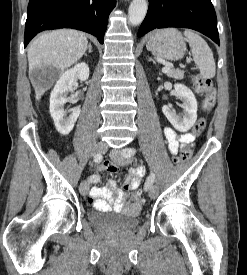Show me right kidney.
I'll return each mask as SVG.
<instances>
[{"label":"right kidney","instance_id":"obj_1","mask_svg":"<svg viewBox=\"0 0 247 275\" xmlns=\"http://www.w3.org/2000/svg\"><path fill=\"white\" fill-rule=\"evenodd\" d=\"M75 78L81 81H86L89 78V67L86 63H78L67 70L56 82L50 95V114L57 131L62 135H68L72 131L80 115L79 107L70 109L69 116H66L64 110V105L68 101L67 94L74 90Z\"/></svg>","mask_w":247,"mask_h":275}]
</instances>
